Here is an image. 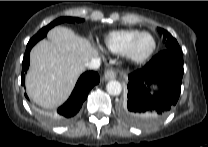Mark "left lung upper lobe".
I'll use <instances>...</instances> for the list:
<instances>
[{
  "label": "left lung upper lobe",
  "mask_w": 208,
  "mask_h": 147,
  "mask_svg": "<svg viewBox=\"0 0 208 147\" xmlns=\"http://www.w3.org/2000/svg\"><path fill=\"white\" fill-rule=\"evenodd\" d=\"M158 31L160 35L163 36V42L165 43L167 50L181 52V49L177 40L169 32H167L166 30L162 28H158Z\"/></svg>",
  "instance_id": "obj_1"
}]
</instances>
